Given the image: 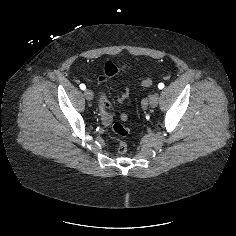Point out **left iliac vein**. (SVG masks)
Segmentation results:
<instances>
[{
	"mask_svg": "<svg viewBox=\"0 0 236 236\" xmlns=\"http://www.w3.org/2000/svg\"><path fill=\"white\" fill-rule=\"evenodd\" d=\"M160 96L159 93L155 92L153 93L149 98V104L152 108L156 107L158 105Z\"/></svg>",
	"mask_w": 236,
	"mask_h": 236,
	"instance_id": "left-iliac-vein-1",
	"label": "left iliac vein"
}]
</instances>
